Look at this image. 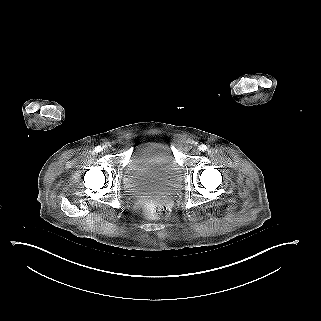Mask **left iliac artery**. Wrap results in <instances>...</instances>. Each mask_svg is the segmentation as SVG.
I'll return each mask as SVG.
<instances>
[{
	"label": "left iliac artery",
	"instance_id": "obj_1",
	"mask_svg": "<svg viewBox=\"0 0 321 321\" xmlns=\"http://www.w3.org/2000/svg\"><path fill=\"white\" fill-rule=\"evenodd\" d=\"M199 149L202 150V151H205V150L207 149V146H206V145H201V146L199 147Z\"/></svg>",
	"mask_w": 321,
	"mask_h": 321
}]
</instances>
